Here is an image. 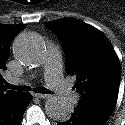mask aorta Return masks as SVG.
<instances>
[{"instance_id":"1","label":"aorta","mask_w":125,"mask_h":125,"mask_svg":"<svg viewBox=\"0 0 125 125\" xmlns=\"http://www.w3.org/2000/svg\"><path fill=\"white\" fill-rule=\"evenodd\" d=\"M44 50L43 41L35 34L23 33L13 43L16 58L25 65L36 64ZM46 114L55 121L64 122L71 118L72 107L63 97L53 96L45 103Z\"/></svg>"}]
</instances>
